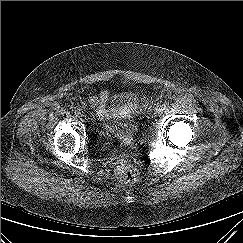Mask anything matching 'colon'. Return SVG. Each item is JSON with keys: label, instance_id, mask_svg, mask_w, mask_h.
Wrapping results in <instances>:
<instances>
[{"label": "colon", "instance_id": "obj_1", "mask_svg": "<svg viewBox=\"0 0 243 243\" xmlns=\"http://www.w3.org/2000/svg\"><path fill=\"white\" fill-rule=\"evenodd\" d=\"M118 179L123 183L137 180L139 172L131 160H124L116 171Z\"/></svg>", "mask_w": 243, "mask_h": 243}]
</instances>
